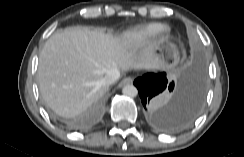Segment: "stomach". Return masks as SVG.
Returning a JSON list of instances; mask_svg holds the SVG:
<instances>
[{"mask_svg":"<svg viewBox=\"0 0 244 157\" xmlns=\"http://www.w3.org/2000/svg\"><path fill=\"white\" fill-rule=\"evenodd\" d=\"M154 61L156 68L162 71H172L179 62V52L174 44L166 43L157 47Z\"/></svg>","mask_w":244,"mask_h":157,"instance_id":"stomach-1","label":"stomach"}]
</instances>
